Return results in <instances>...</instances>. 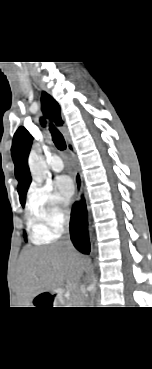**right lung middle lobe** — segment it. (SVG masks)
Listing matches in <instances>:
<instances>
[{
  "instance_id": "1",
  "label": "right lung middle lobe",
  "mask_w": 152,
  "mask_h": 369,
  "mask_svg": "<svg viewBox=\"0 0 152 369\" xmlns=\"http://www.w3.org/2000/svg\"><path fill=\"white\" fill-rule=\"evenodd\" d=\"M21 205L24 206L25 205V202H21ZM25 237H26V235H25Z\"/></svg>"
}]
</instances>
